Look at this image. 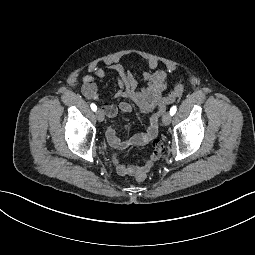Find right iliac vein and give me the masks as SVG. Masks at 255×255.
Segmentation results:
<instances>
[{
	"label": "right iliac vein",
	"instance_id": "63e3f726",
	"mask_svg": "<svg viewBox=\"0 0 255 255\" xmlns=\"http://www.w3.org/2000/svg\"><path fill=\"white\" fill-rule=\"evenodd\" d=\"M96 118L99 122H102L104 120V112L101 109H98L96 111Z\"/></svg>",
	"mask_w": 255,
	"mask_h": 255
}]
</instances>
